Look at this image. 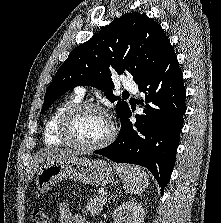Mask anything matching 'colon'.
Returning <instances> with one entry per match:
<instances>
[{
    "label": "colon",
    "mask_w": 221,
    "mask_h": 223,
    "mask_svg": "<svg viewBox=\"0 0 221 223\" xmlns=\"http://www.w3.org/2000/svg\"><path fill=\"white\" fill-rule=\"evenodd\" d=\"M33 223H52V217L45 208H38L33 213Z\"/></svg>",
    "instance_id": "1"
}]
</instances>
